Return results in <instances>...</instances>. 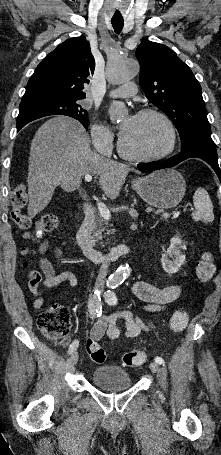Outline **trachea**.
Wrapping results in <instances>:
<instances>
[{
    "label": "trachea",
    "mask_w": 221,
    "mask_h": 455,
    "mask_svg": "<svg viewBox=\"0 0 221 455\" xmlns=\"http://www.w3.org/2000/svg\"><path fill=\"white\" fill-rule=\"evenodd\" d=\"M111 23H112V26L115 30L116 33H120L121 30L123 29V25H124V20L123 18H112L111 19Z\"/></svg>",
    "instance_id": "obj_1"
}]
</instances>
